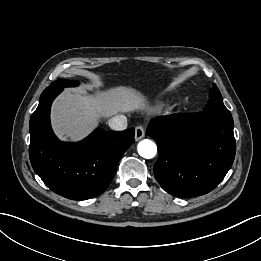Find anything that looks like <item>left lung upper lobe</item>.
Segmentation results:
<instances>
[{"mask_svg":"<svg viewBox=\"0 0 261 261\" xmlns=\"http://www.w3.org/2000/svg\"><path fill=\"white\" fill-rule=\"evenodd\" d=\"M203 112L224 116L231 115L230 111L223 104L221 93L215 84H213L210 90L209 101Z\"/></svg>","mask_w":261,"mask_h":261,"instance_id":"1","label":"left lung upper lobe"}]
</instances>
